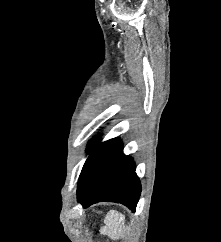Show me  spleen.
<instances>
[{
  "label": "spleen",
  "mask_w": 221,
  "mask_h": 242,
  "mask_svg": "<svg viewBox=\"0 0 221 242\" xmlns=\"http://www.w3.org/2000/svg\"><path fill=\"white\" fill-rule=\"evenodd\" d=\"M124 218L122 214L109 212L104 220L106 224L105 234L111 239H119L129 233L130 227L124 224Z\"/></svg>",
  "instance_id": "3e777b00"
}]
</instances>
